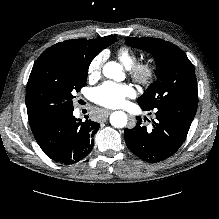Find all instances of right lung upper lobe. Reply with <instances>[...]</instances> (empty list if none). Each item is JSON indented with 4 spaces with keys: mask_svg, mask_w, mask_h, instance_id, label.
I'll list each match as a JSON object with an SVG mask.
<instances>
[{
    "mask_svg": "<svg viewBox=\"0 0 219 219\" xmlns=\"http://www.w3.org/2000/svg\"><path fill=\"white\" fill-rule=\"evenodd\" d=\"M116 38L111 36L101 37L97 39H78V40H67L55 44L48 48L50 50H57L66 54L74 55L77 53L82 54L87 59H92L104 48L113 44Z\"/></svg>",
    "mask_w": 219,
    "mask_h": 219,
    "instance_id": "obj_1",
    "label": "right lung upper lobe"
}]
</instances>
